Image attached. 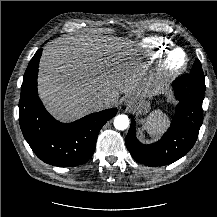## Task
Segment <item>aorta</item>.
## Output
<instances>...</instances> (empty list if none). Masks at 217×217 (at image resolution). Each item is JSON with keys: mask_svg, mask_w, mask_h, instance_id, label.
Returning <instances> with one entry per match:
<instances>
[{"mask_svg": "<svg viewBox=\"0 0 217 217\" xmlns=\"http://www.w3.org/2000/svg\"><path fill=\"white\" fill-rule=\"evenodd\" d=\"M129 126V118L127 115H118L114 118V127L117 130H125Z\"/></svg>", "mask_w": 217, "mask_h": 217, "instance_id": "obj_1", "label": "aorta"}]
</instances>
